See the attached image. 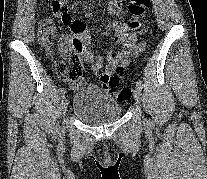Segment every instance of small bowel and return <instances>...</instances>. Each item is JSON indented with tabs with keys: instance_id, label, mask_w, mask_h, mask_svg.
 Wrapping results in <instances>:
<instances>
[{
	"instance_id": "1",
	"label": "small bowel",
	"mask_w": 207,
	"mask_h": 179,
	"mask_svg": "<svg viewBox=\"0 0 207 179\" xmlns=\"http://www.w3.org/2000/svg\"><path fill=\"white\" fill-rule=\"evenodd\" d=\"M107 13L117 17H122L124 14L123 0H112L107 7ZM55 16L62 19L64 23H70L72 30L75 32L74 38L66 40L62 46L74 43L75 48L79 51L83 62L90 66L95 75H99L100 70L104 66V59L101 55H94L86 49L93 38L90 29L86 28L79 20L70 21L69 19H65V17H63L60 13H55ZM85 16L91 17L92 14H86ZM129 30L130 28L126 24L116 25V42L123 45L126 50L134 48L135 52H141L143 49L142 47L134 46L131 43L132 34ZM126 50H120L115 55L108 56L106 68V73L108 75H112L117 68L124 67L126 65ZM74 87H78V85H74Z\"/></svg>"
}]
</instances>
